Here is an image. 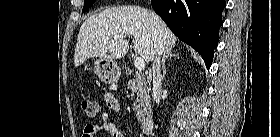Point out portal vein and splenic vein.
<instances>
[{
  "label": "portal vein and splenic vein",
  "mask_w": 280,
  "mask_h": 137,
  "mask_svg": "<svg viewBox=\"0 0 280 137\" xmlns=\"http://www.w3.org/2000/svg\"><path fill=\"white\" fill-rule=\"evenodd\" d=\"M126 38L124 35H115L114 39H123ZM134 65L138 71H143L145 69V61L142 57H136L134 60Z\"/></svg>",
  "instance_id": "1"
}]
</instances>
